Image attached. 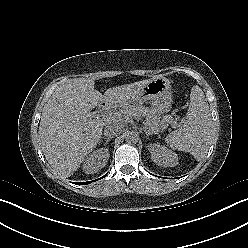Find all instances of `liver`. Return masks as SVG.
I'll return each instance as SVG.
<instances>
[{
    "label": "liver",
    "instance_id": "liver-1",
    "mask_svg": "<svg viewBox=\"0 0 248 248\" xmlns=\"http://www.w3.org/2000/svg\"><path fill=\"white\" fill-rule=\"evenodd\" d=\"M150 79L109 88L104 95L94 90V80L71 79L58 87L45 104L40 120L42 151L51 167L69 177L98 143L109 121L93 118L90 110L101 102L126 105Z\"/></svg>",
    "mask_w": 248,
    "mask_h": 248
}]
</instances>
